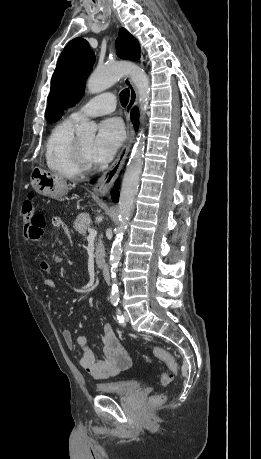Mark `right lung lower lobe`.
<instances>
[{
  "label": "right lung lower lobe",
  "mask_w": 261,
  "mask_h": 459,
  "mask_svg": "<svg viewBox=\"0 0 261 459\" xmlns=\"http://www.w3.org/2000/svg\"><path fill=\"white\" fill-rule=\"evenodd\" d=\"M131 119L134 123V126L135 128L137 129V126H138V110L137 108H134L132 110V113H131ZM118 187H119V181L117 180L115 182V187L112 189L111 191V195H112V200L114 202H118V198H119V190H118Z\"/></svg>",
  "instance_id": "right-lung-lower-lobe-1"
}]
</instances>
